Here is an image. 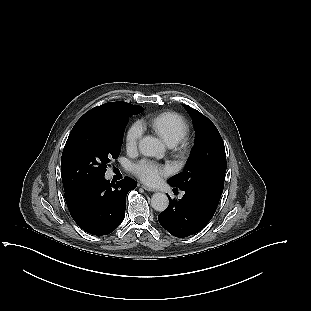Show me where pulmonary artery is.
<instances>
[{"label":"pulmonary artery","mask_w":311,"mask_h":311,"mask_svg":"<svg viewBox=\"0 0 311 311\" xmlns=\"http://www.w3.org/2000/svg\"><path fill=\"white\" fill-rule=\"evenodd\" d=\"M166 143H167L169 148H173L176 145V141H174V140H167Z\"/></svg>","instance_id":"obj_1"}]
</instances>
